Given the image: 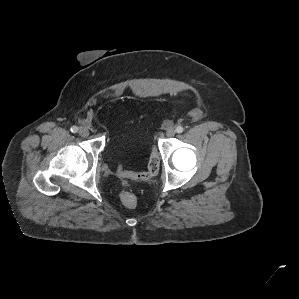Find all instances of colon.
Instances as JSON below:
<instances>
[{"instance_id": "5ec220e1", "label": "colon", "mask_w": 299, "mask_h": 299, "mask_svg": "<svg viewBox=\"0 0 299 299\" xmlns=\"http://www.w3.org/2000/svg\"><path fill=\"white\" fill-rule=\"evenodd\" d=\"M160 169V156L157 151H153L149 157L147 169L141 172L121 170V176L132 180H146L155 176ZM121 200L123 204L129 208L135 207L137 204V197L134 193L128 190L121 192Z\"/></svg>"}]
</instances>
